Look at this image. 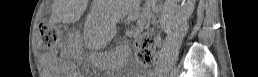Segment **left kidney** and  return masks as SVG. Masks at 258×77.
Returning a JSON list of instances; mask_svg holds the SVG:
<instances>
[{"mask_svg":"<svg viewBox=\"0 0 258 77\" xmlns=\"http://www.w3.org/2000/svg\"><path fill=\"white\" fill-rule=\"evenodd\" d=\"M186 0H183V3L185 2ZM196 0H191V1H187L189 3H191L192 5L191 6H186L185 9H184V14H183V19H187L193 12V9H194V3H195Z\"/></svg>","mask_w":258,"mask_h":77,"instance_id":"5707ae66","label":"left kidney"}]
</instances>
